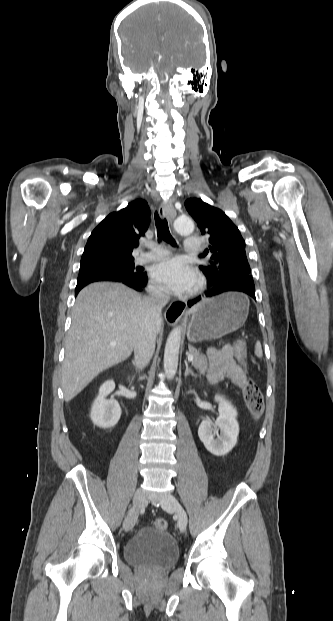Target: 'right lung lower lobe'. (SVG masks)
Returning a JSON list of instances; mask_svg holds the SVG:
<instances>
[{
  "label": "right lung lower lobe",
  "mask_w": 333,
  "mask_h": 621,
  "mask_svg": "<svg viewBox=\"0 0 333 621\" xmlns=\"http://www.w3.org/2000/svg\"><path fill=\"white\" fill-rule=\"evenodd\" d=\"M97 281L121 282L137 291H142V289L147 284V274L145 272L132 274H119L107 271L82 272L79 273L78 276L77 286L75 288V296L84 286Z\"/></svg>",
  "instance_id": "obj_1"
}]
</instances>
